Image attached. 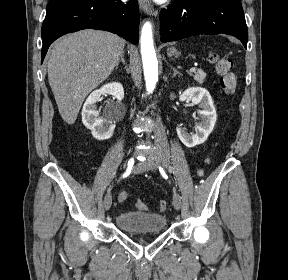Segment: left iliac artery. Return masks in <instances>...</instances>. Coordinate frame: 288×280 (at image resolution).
Returning <instances> with one entry per match:
<instances>
[{"instance_id":"44dca946","label":"left iliac artery","mask_w":288,"mask_h":280,"mask_svg":"<svg viewBox=\"0 0 288 280\" xmlns=\"http://www.w3.org/2000/svg\"><path fill=\"white\" fill-rule=\"evenodd\" d=\"M159 170H160V172L162 174V179L167 181V183L171 187V192H173V195L174 196H179L180 192L178 191V184H174V180L173 179H169V174H165V172H164L163 168H161V166H159Z\"/></svg>"}]
</instances>
